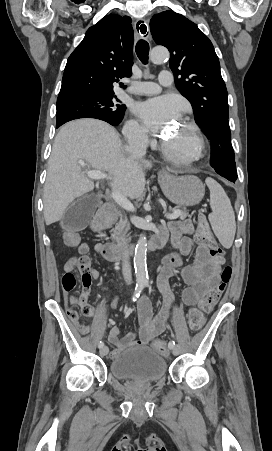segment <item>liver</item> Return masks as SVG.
<instances>
[{
    "instance_id": "1",
    "label": "liver",
    "mask_w": 272,
    "mask_h": 451,
    "mask_svg": "<svg viewBox=\"0 0 272 451\" xmlns=\"http://www.w3.org/2000/svg\"><path fill=\"white\" fill-rule=\"evenodd\" d=\"M79 160L91 168L110 172V186L125 198H140L145 190V170L151 162L140 156L124 154L118 132L101 120H75L59 130L49 158L43 204L46 226L61 220L73 200L94 190L79 166Z\"/></svg>"
}]
</instances>
